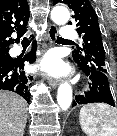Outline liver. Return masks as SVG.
<instances>
[{"label":"liver","instance_id":"1","mask_svg":"<svg viewBox=\"0 0 117 136\" xmlns=\"http://www.w3.org/2000/svg\"><path fill=\"white\" fill-rule=\"evenodd\" d=\"M27 102L10 91L0 90V136H23Z\"/></svg>","mask_w":117,"mask_h":136}]
</instances>
